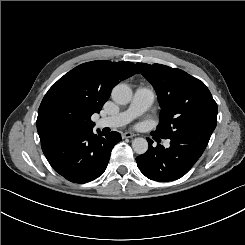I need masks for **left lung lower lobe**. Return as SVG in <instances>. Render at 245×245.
Listing matches in <instances>:
<instances>
[{
    "mask_svg": "<svg viewBox=\"0 0 245 245\" xmlns=\"http://www.w3.org/2000/svg\"><path fill=\"white\" fill-rule=\"evenodd\" d=\"M151 134L157 136L153 132ZM148 142V151L138 156L136 162L143 175L158 182L174 181L184 176L206 148L184 139H170L169 148L160 144L153 147L149 138Z\"/></svg>",
    "mask_w": 245,
    "mask_h": 245,
    "instance_id": "0a47b994",
    "label": "left lung lower lobe"
}]
</instances>
